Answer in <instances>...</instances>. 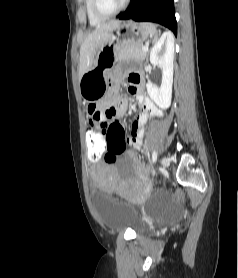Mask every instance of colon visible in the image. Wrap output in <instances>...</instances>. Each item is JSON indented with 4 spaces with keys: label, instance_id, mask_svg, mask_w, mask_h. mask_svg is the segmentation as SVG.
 I'll use <instances>...</instances> for the list:
<instances>
[{
    "label": "colon",
    "instance_id": "colon-1",
    "mask_svg": "<svg viewBox=\"0 0 238 278\" xmlns=\"http://www.w3.org/2000/svg\"><path fill=\"white\" fill-rule=\"evenodd\" d=\"M112 127H119L114 125ZM87 142V161L99 162L105 156L107 163H113L126 148L123 137H98L97 130H85Z\"/></svg>",
    "mask_w": 238,
    "mask_h": 278
}]
</instances>
